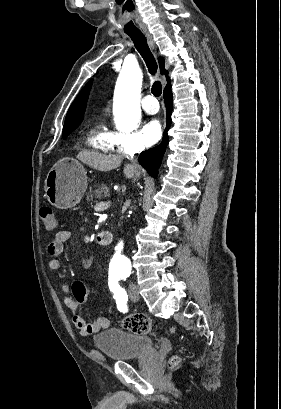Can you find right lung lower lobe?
<instances>
[{"instance_id":"obj_1","label":"right lung lower lobe","mask_w":281,"mask_h":409,"mask_svg":"<svg viewBox=\"0 0 281 409\" xmlns=\"http://www.w3.org/2000/svg\"><path fill=\"white\" fill-rule=\"evenodd\" d=\"M163 97L165 100V104L167 107V128L164 131L163 134V141L160 145L157 147H154L152 149L146 150L142 152L139 156V161L142 164V166L148 171L149 175L156 177L158 174V168L161 164L162 157L164 155V152L166 150V146L168 144V135H167V130L171 125V118H170V113L172 111V91L171 88L167 89L163 93Z\"/></svg>"}]
</instances>
